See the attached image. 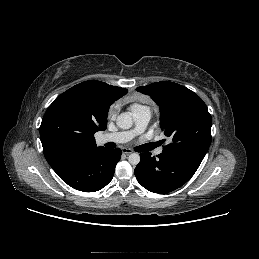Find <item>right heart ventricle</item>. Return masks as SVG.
<instances>
[{"instance_id":"e07e8e85","label":"right heart ventricle","mask_w":259,"mask_h":259,"mask_svg":"<svg viewBox=\"0 0 259 259\" xmlns=\"http://www.w3.org/2000/svg\"><path fill=\"white\" fill-rule=\"evenodd\" d=\"M140 107H142V106H140L138 104H134V105L131 106V110H134V109L140 108Z\"/></svg>"}]
</instances>
